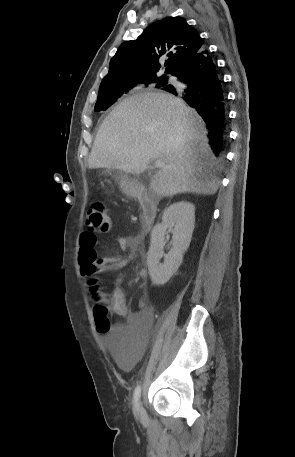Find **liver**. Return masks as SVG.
I'll return each instance as SVG.
<instances>
[{"mask_svg":"<svg viewBox=\"0 0 295 457\" xmlns=\"http://www.w3.org/2000/svg\"><path fill=\"white\" fill-rule=\"evenodd\" d=\"M205 123L180 98L144 92L119 103L104 119L88 159L90 169L140 174L161 159L165 166L151 181L161 197L178 193L214 194L219 181Z\"/></svg>","mask_w":295,"mask_h":457,"instance_id":"liver-1","label":"liver"}]
</instances>
